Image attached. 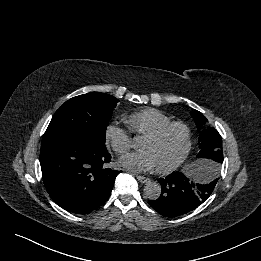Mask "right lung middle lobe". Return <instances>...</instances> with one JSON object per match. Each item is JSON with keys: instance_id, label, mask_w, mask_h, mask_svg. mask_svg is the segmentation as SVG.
I'll return each mask as SVG.
<instances>
[{"instance_id": "1", "label": "right lung middle lobe", "mask_w": 261, "mask_h": 261, "mask_svg": "<svg viewBox=\"0 0 261 261\" xmlns=\"http://www.w3.org/2000/svg\"><path fill=\"white\" fill-rule=\"evenodd\" d=\"M117 102L114 96L100 92L69 99L55 112L41 146L72 139L105 144L106 128Z\"/></svg>"}]
</instances>
